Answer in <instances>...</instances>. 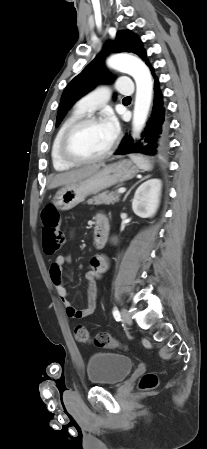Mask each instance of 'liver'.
<instances>
[{
  "label": "liver",
  "mask_w": 207,
  "mask_h": 449,
  "mask_svg": "<svg viewBox=\"0 0 207 449\" xmlns=\"http://www.w3.org/2000/svg\"><path fill=\"white\" fill-rule=\"evenodd\" d=\"M101 165H91L80 169L60 173L54 176L51 180L48 189H54L59 186H66L73 184L83 178H86L100 169Z\"/></svg>",
  "instance_id": "1"
}]
</instances>
